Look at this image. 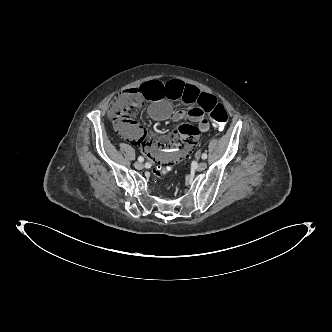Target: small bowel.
<instances>
[{"mask_svg": "<svg viewBox=\"0 0 332 332\" xmlns=\"http://www.w3.org/2000/svg\"><path fill=\"white\" fill-rule=\"evenodd\" d=\"M139 92L142 99L150 104L148 113L153 119L190 120L197 126L183 124L162 140L148 135L144 128L137 124L129 132L120 131L122 135L138 145L154 163H174L186 158L190 149L198 145L200 133L209 130L210 125L205 113L216 103V98L181 80L166 81L161 77L143 81ZM171 101H183L189 108L173 111Z\"/></svg>", "mask_w": 332, "mask_h": 332, "instance_id": "c3829d8e", "label": "small bowel"}]
</instances>
